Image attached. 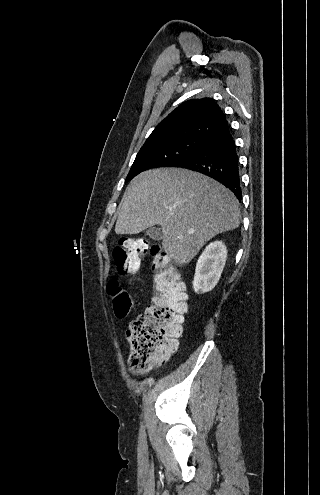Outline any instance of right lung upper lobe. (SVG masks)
<instances>
[{
  "label": "right lung upper lobe",
  "mask_w": 320,
  "mask_h": 495,
  "mask_svg": "<svg viewBox=\"0 0 320 495\" xmlns=\"http://www.w3.org/2000/svg\"><path fill=\"white\" fill-rule=\"evenodd\" d=\"M228 127L225 114L211 98L183 102L162 120L143 146H152L187 138L207 139Z\"/></svg>",
  "instance_id": "cb5924a9"
}]
</instances>
